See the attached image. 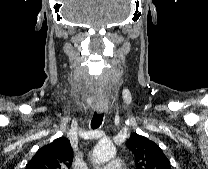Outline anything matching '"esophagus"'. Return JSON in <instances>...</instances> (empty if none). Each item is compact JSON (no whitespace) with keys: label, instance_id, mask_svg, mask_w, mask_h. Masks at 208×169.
Returning <instances> with one entry per match:
<instances>
[{"label":"esophagus","instance_id":"1","mask_svg":"<svg viewBox=\"0 0 208 169\" xmlns=\"http://www.w3.org/2000/svg\"><path fill=\"white\" fill-rule=\"evenodd\" d=\"M107 110H108V106L107 105H101V106H97L96 107V111L98 113H103V112H105Z\"/></svg>","mask_w":208,"mask_h":169}]
</instances>
